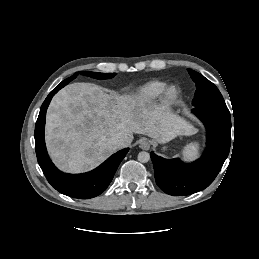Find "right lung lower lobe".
<instances>
[{
	"label": "right lung lower lobe",
	"instance_id": "obj_1",
	"mask_svg": "<svg viewBox=\"0 0 259 259\" xmlns=\"http://www.w3.org/2000/svg\"><path fill=\"white\" fill-rule=\"evenodd\" d=\"M64 86L59 84L43 102L35 125V147L38 163L48 182L60 193L79 199H89L101 194L111 182L119 164L129 148L118 151L96 169L83 174L59 171L50 160L44 140L46 111L52 97Z\"/></svg>",
	"mask_w": 259,
	"mask_h": 259
}]
</instances>
